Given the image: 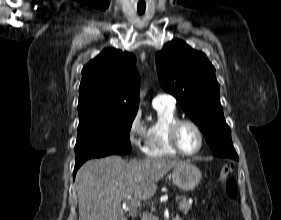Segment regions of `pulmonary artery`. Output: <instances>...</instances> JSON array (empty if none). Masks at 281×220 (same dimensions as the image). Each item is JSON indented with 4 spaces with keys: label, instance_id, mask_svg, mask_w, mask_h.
<instances>
[{
    "label": "pulmonary artery",
    "instance_id": "obj_1",
    "mask_svg": "<svg viewBox=\"0 0 281 220\" xmlns=\"http://www.w3.org/2000/svg\"><path fill=\"white\" fill-rule=\"evenodd\" d=\"M175 103V98L166 93H159L153 98V105L175 106Z\"/></svg>",
    "mask_w": 281,
    "mask_h": 220
}]
</instances>
